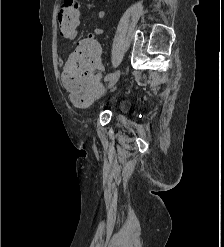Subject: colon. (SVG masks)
<instances>
[{"mask_svg":"<svg viewBox=\"0 0 224 247\" xmlns=\"http://www.w3.org/2000/svg\"><path fill=\"white\" fill-rule=\"evenodd\" d=\"M79 25L78 6L75 0H64L58 12L59 31L70 36ZM103 65L97 42L84 41L63 68L62 81L70 91L71 100L78 106L90 105L102 83Z\"/></svg>","mask_w":224,"mask_h":247,"instance_id":"colon-1","label":"colon"}]
</instances>
